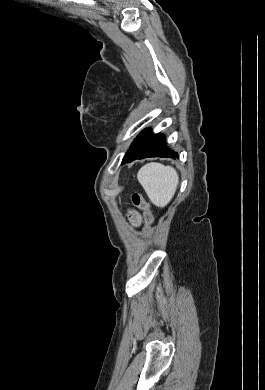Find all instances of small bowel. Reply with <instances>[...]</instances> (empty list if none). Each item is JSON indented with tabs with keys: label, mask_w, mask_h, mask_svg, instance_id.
Returning a JSON list of instances; mask_svg holds the SVG:
<instances>
[{
	"label": "small bowel",
	"mask_w": 265,
	"mask_h": 390,
	"mask_svg": "<svg viewBox=\"0 0 265 390\" xmlns=\"http://www.w3.org/2000/svg\"><path fill=\"white\" fill-rule=\"evenodd\" d=\"M131 218H132L135 222H137V223H139L140 220H141L140 215H139L138 213H133V214L131 215Z\"/></svg>",
	"instance_id": "c3829d8e"
}]
</instances>
